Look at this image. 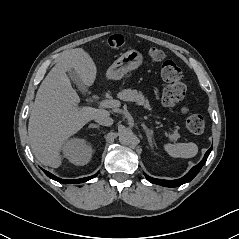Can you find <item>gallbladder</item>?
<instances>
[{"instance_id":"bac80fb5","label":"gallbladder","mask_w":239,"mask_h":239,"mask_svg":"<svg viewBox=\"0 0 239 239\" xmlns=\"http://www.w3.org/2000/svg\"><path fill=\"white\" fill-rule=\"evenodd\" d=\"M71 79L81 88H84V85L82 84V82L80 81L78 75L75 73L74 70H71L68 72Z\"/></svg>"}]
</instances>
